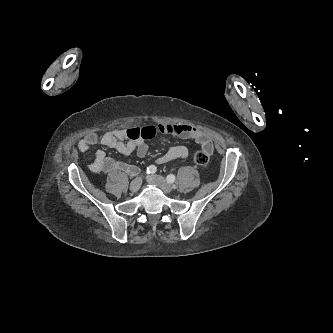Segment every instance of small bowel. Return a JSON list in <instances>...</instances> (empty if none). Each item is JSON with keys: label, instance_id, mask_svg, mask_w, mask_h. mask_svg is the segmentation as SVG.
I'll return each instance as SVG.
<instances>
[{"label": "small bowel", "instance_id": "c3829d8e", "mask_svg": "<svg viewBox=\"0 0 333 333\" xmlns=\"http://www.w3.org/2000/svg\"><path fill=\"white\" fill-rule=\"evenodd\" d=\"M157 134L176 136L179 138L192 139L199 143L202 150L209 156L214 151L211 137L206 132L187 124H158L142 128L116 129L104 133L100 138L95 133L87 134L78 142V149L86 151L97 143L115 149L121 154L129 155L133 152L139 157H144L148 153V145L145 140L155 137ZM188 155L184 146L178 145L171 147L165 154L157 158V163L163 164L175 159H183ZM121 169L131 172L132 168L126 164H119L106 157L103 150L96 152L93 170H104L112 172Z\"/></svg>", "mask_w": 333, "mask_h": 333}]
</instances>
